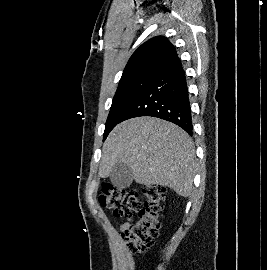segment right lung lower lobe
<instances>
[{
  "label": "right lung lower lobe",
  "instance_id": "1",
  "mask_svg": "<svg viewBox=\"0 0 267 270\" xmlns=\"http://www.w3.org/2000/svg\"><path fill=\"white\" fill-rule=\"evenodd\" d=\"M140 116L170 121L188 134H193L189 93L185 73L178 57L155 75L124 120Z\"/></svg>",
  "mask_w": 267,
  "mask_h": 270
}]
</instances>
